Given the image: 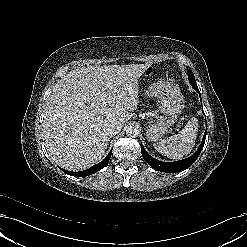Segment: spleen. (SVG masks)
<instances>
[{"label": "spleen", "instance_id": "spleen-1", "mask_svg": "<svg viewBox=\"0 0 247 247\" xmlns=\"http://www.w3.org/2000/svg\"><path fill=\"white\" fill-rule=\"evenodd\" d=\"M198 132V120L191 118L186 126L178 133L167 139L159 140L155 149L170 159L179 160L188 155L195 144Z\"/></svg>", "mask_w": 247, "mask_h": 247}]
</instances>
